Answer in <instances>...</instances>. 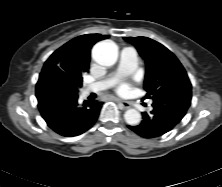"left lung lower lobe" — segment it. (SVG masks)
I'll use <instances>...</instances> for the list:
<instances>
[{
	"instance_id": "obj_1",
	"label": "left lung lower lobe",
	"mask_w": 222,
	"mask_h": 187,
	"mask_svg": "<svg viewBox=\"0 0 222 187\" xmlns=\"http://www.w3.org/2000/svg\"><path fill=\"white\" fill-rule=\"evenodd\" d=\"M191 90L165 93L153 99V110L143 112L141 124L128 126L144 138H154L172 130L184 117L191 103Z\"/></svg>"
}]
</instances>
